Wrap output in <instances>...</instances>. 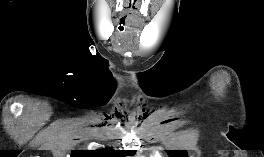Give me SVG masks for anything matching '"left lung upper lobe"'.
I'll return each mask as SVG.
<instances>
[{"mask_svg":"<svg viewBox=\"0 0 264 157\" xmlns=\"http://www.w3.org/2000/svg\"><path fill=\"white\" fill-rule=\"evenodd\" d=\"M169 157H188L185 150H166Z\"/></svg>","mask_w":264,"mask_h":157,"instance_id":"1","label":"left lung upper lobe"}]
</instances>
